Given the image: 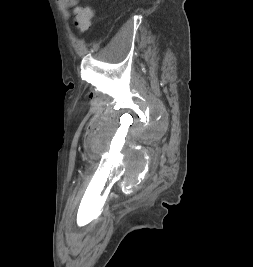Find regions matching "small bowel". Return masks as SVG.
I'll use <instances>...</instances> for the list:
<instances>
[{"label":"small bowel","mask_w":253,"mask_h":267,"mask_svg":"<svg viewBox=\"0 0 253 267\" xmlns=\"http://www.w3.org/2000/svg\"><path fill=\"white\" fill-rule=\"evenodd\" d=\"M60 9L66 17L69 16L71 9L75 8L78 4V0H57Z\"/></svg>","instance_id":"1"}]
</instances>
